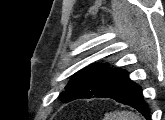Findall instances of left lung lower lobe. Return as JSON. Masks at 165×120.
Returning a JSON list of instances; mask_svg holds the SVG:
<instances>
[{"label": "left lung lower lobe", "mask_w": 165, "mask_h": 120, "mask_svg": "<svg viewBox=\"0 0 165 120\" xmlns=\"http://www.w3.org/2000/svg\"><path fill=\"white\" fill-rule=\"evenodd\" d=\"M105 98H112L117 102L130 105L145 116L147 120H150L148 105L143 100L142 90L140 86L130 80L128 75L124 82Z\"/></svg>", "instance_id": "obj_1"}]
</instances>
